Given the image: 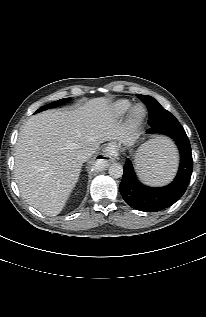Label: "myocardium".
I'll use <instances>...</instances> for the list:
<instances>
[{"label":"myocardium","instance_id":"1","mask_svg":"<svg viewBox=\"0 0 206 317\" xmlns=\"http://www.w3.org/2000/svg\"><path fill=\"white\" fill-rule=\"evenodd\" d=\"M146 115V110L142 105H136L131 111L130 120L133 124L141 123Z\"/></svg>","mask_w":206,"mask_h":317}]
</instances>
